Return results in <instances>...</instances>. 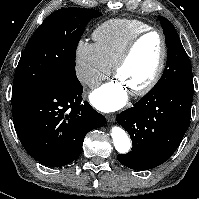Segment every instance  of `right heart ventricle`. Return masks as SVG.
Instances as JSON below:
<instances>
[{
    "instance_id": "right-heart-ventricle-1",
    "label": "right heart ventricle",
    "mask_w": 199,
    "mask_h": 199,
    "mask_svg": "<svg viewBox=\"0 0 199 199\" xmlns=\"http://www.w3.org/2000/svg\"><path fill=\"white\" fill-rule=\"evenodd\" d=\"M150 26L138 19H113L98 26L92 36L102 56L112 66L127 43Z\"/></svg>"
}]
</instances>
